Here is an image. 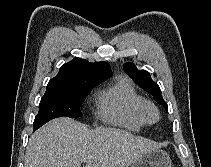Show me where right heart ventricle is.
Instances as JSON below:
<instances>
[{
	"label": "right heart ventricle",
	"mask_w": 211,
	"mask_h": 167,
	"mask_svg": "<svg viewBox=\"0 0 211 167\" xmlns=\"http://www.w3.org/2000/svg\"><path fill=\"white\" fill-rule=\"evenodd\" d=\"M144 98L125 77H119L98 97L97 115L105 122L139 130L146 122L141 109Z\"/></svg>",
	"instance_id": "e07e8e85"
}]
</instances>
